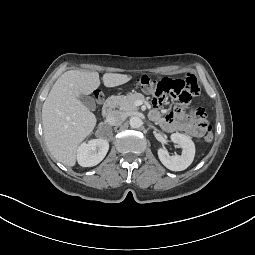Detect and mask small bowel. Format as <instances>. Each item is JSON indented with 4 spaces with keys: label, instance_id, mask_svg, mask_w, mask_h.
Here are the masks:
<instances>
[{
    "label": "small bowel",
    "instance_id": "obj_1",
    "mask_svg": "<svg viewBox=\"0 0 255 255\" xmlns=\"http://www.w3.org/2000/svg\"><path fill=\"white\" fill-rule=\"evenodd\" d=\"M152 118L160 121L162 127L168 132H184L194 138H199L205 132V125L196 122L182 109L161 114L158 110L151 113Z\"/></svg>",
    "mask_w": 255,
    "mask_h": 255
}]
</instances>
